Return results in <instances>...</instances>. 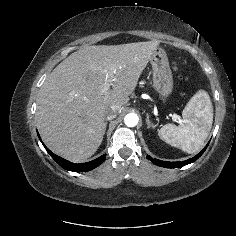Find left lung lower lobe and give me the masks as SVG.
Wrapping results in <instances>:
<instances>
[{
  "label": "left lung lower lobe",
  "mask_w": 236,
  "mask_h": 236,
  "mask_svg": "<svg viewBox=\"0 0 236 236\" xmlns=\"http://www.w3.org/2000/svg\"><path fill=\"white\" fill-rule=\"evenodd\" d=\"M209 144V143H208ZM208 144L205 146V148L199 152L196 156H194L193 158H190L188 160L182 161V162H168V161H162V160H158V159H153L150 156H147V159L151 160V162H153L154 164L161 166V167H165V168H177V167H182L185 166L187 164H190L194 161H196L206 150Z\"/></svg>",
  "instance_id": "left-lung-lower-lobe-1"
}]
</instances>
